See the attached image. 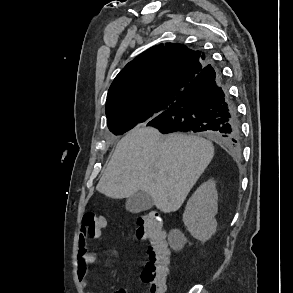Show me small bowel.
I'll use <instances>...</instances> for the list:
<instances>
[{"instance_id": "small-bowel-1", "label": "small bowel", "mask_w": 293, "mask_h": 293, "mask_svg": "<svg viewBox=\"0 0 293 293\" xmlns=\"http://www.w3.org/2000/svg\"><path fill=\"white\" fill-rule=\"evenodd\" d=\"M88 239L86 237V234L82 230L78 236L77 239V274L79 281L82 285V287L87 288L88 287V281H87V274H88V267L97 262L98 257L97 254L94 252H90L88 250ZM107 251L114 254L115 256L120 255V251L113 247L108 246ZM87 293H94L92 291H88ZM115 293H128L125 289H118L115 291Z\"/></svg>"}]
</instances>
